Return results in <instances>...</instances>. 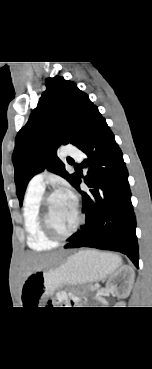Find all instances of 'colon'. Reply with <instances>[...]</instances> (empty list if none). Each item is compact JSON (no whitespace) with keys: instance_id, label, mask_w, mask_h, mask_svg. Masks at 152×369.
<instances>
[{"instance_id":"obj_1","label":"colon","mask_w":152,"mask_h":369,"mask_svg":"<svg viewBox=\"0 0 152 369\" xmlns=\"http://www.w3.org/2000/svg\"><path fill=\"white\" fill-rule=\"evenodd\" d=\"M58 301H60V302H65L66 301V296L65 295H63V294H61V295H59L58 296Z\"/></svg>"}]
</instances>
